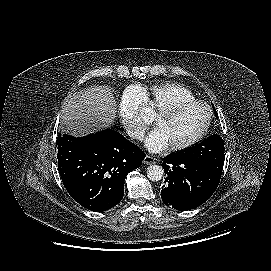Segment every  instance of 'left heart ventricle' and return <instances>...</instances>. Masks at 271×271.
Listing matches in <instances>:
<instances>
[{
	"instance_id": "b2bd125f",
	"label": "left heart ventricle",
	"mask_w": 271,
	"mask_h": 271,
	"mask_svg": "<svg viewBox=\"0 0 271 271\" xmlns=\"http://www.w3.org/2000/svg\"><path fill=\"white\" fill-rule=\"evenodd\" d=\"M207 117L204 107L193 106L173 116H155L154 123L164 133L169 146H172L185 143L196 136L204 127Z\"/></svg>"
}]
</instances>
